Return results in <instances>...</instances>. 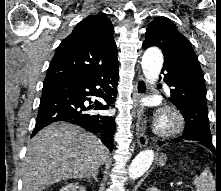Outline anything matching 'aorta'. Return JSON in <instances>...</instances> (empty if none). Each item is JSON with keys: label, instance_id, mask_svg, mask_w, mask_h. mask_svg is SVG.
Returning <instances> with one entry per match:
<instances>
[{"label": "aorta", "instance_id": "1", "mask_svg": "<svg viewBox=\"0 0 221 191\" xmlns=\"http://www.w3.org/2000/svg\"><path fill=\"white\" fill-rule=\"evenodd\" d=\"M163 66V54L156 47L148 48L142 57L141 67L146 82L150 87L155 85L159 73ZM154 159V152L150 149L141 151L131 162L128 174L129 178L134 180L141 177L151 166Z\"/></svg>", "mask_w": 221, "mask_h": 191}]
</instances>
